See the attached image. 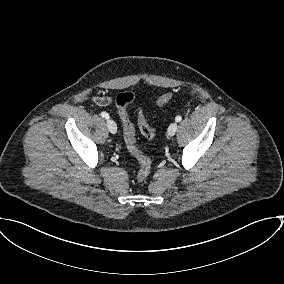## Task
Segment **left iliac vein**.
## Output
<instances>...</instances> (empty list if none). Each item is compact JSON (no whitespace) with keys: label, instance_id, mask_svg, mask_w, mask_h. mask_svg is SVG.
<instances>
[{"label":"left iliac vein","instance_id":"4c4485c4","mask_svg":"<svg viewBox=\"0 0 284 284\" xmlns=\"http://www.w3.org/2000/svg\"><path fill=\"white\" fill-rule=\"evenodd\" d=\"M177 129H178L177 123H175V122H174V123H171L170 126L168 127L167 135H168L169 137L174 136L175 133H176V131H177Z\"/></svg>","mask_w":284,"mask_h":284}]
</instances>
